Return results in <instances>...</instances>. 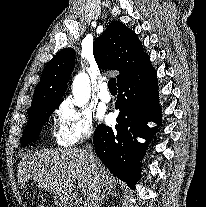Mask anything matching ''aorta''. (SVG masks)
Instances as JSON below:
<instances>
[{
  "label": "aorta",
  "instance_id": "1",
  "mask_svg": "<svg viewBox=\"0 0 206 207\" xmlns=\"http://www.w3.org/2000/svg\"><path fill=\"white\" fill-rule=\"evenodd\" d=\"M72 93L74 96V104L83 106L90 99V82L88 76L84 73L77 75L73 81Z\"/></svg>",
  "mask_w": 206,
  "mask_h": 207
}]
</instances>
